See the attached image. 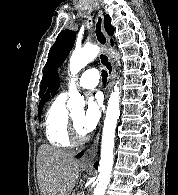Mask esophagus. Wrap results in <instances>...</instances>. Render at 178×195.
Segmentation results:
<instances>
[{
	"label": "esophagus",
	"mask_w": 178,
	"mask_h": 195,
	"mask_svg": "<svg viewBox=\"0 0 178 195\" xmlns=\"http://www.w3.org/2000/svg\"><path fill=\"white\" fill-rule=\"evenodd\" d=\"M98 12L95 18V38L97 43L101 47V51L99 54V60L101 64L105 67L108 73V86L106 91V99L109 96V93L113 87L116 77V70L113 64L111 57L107 53V47L109 46V38L104 29V15L103 12L97 8ZM100 133L97 134L96 138L85 152L84 156L81 159L80 165L84 167H91L94 163L95 154L98 148Z\"/></svg>",
	"instance_id": "1"
}]
</instances>
